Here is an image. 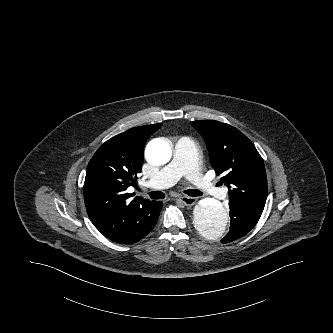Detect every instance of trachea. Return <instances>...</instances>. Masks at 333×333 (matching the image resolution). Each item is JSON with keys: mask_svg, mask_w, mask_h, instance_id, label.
<instances>
[{"mask_svg": "<svg viewBox=\"0 0 333 333\" xmlns=\"http://www.w3.org/2000/svg\"><path fill=\"white\" fill-rule=\"evenodd\" d=\"M186 194L190 195V196H201L202 193L198 190H186L185 191ZM151 199H163L165 197L164 193L161 191H153L149 193Z\"/></svg>", "mask_w": 333, "mask_h": 333, "instance_id": "trachea-1", "label": "trachea"}]
</instances>
